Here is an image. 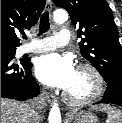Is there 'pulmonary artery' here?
<instances>
[{
    "label": "pulmonary artery",
    "mask_w": 122,
    "mask_h": 123,
    "mask_svg": "<svg viewBox=\"0 0 122 123\" xmlns=\"http://www.w3.org/2000/svg\"><path fill=\"white\" fill-rule=\"evenodd\" d=\"M70 38L69 30L63 28L55 36L34 39L30 44L22 46L19 51L21 54L50 51L68 45Z\"/></svg>",
    "instance_id": "e3ab8cb5"
}]
</instances>
